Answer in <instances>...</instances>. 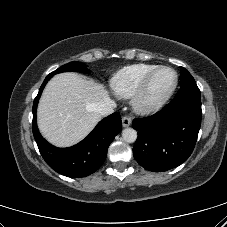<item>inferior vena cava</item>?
<instances>
[{
	"instance_id": "obj_1",
	"label": "inferior vena cava",
	"mask_w": 227,
	"mask_h": 227,
	"mask_svg": "<svg viewBox=\"0 0 227 227\" xmlns=\"http://www.w3.org/2000/svg\"><path fill=\"white\" fill-rule=\"evenodd\" d=\"M115 107V102H113L110 98H104L95 104V110L103 116L112 114Z\"/></svg>"
}]
</instances>
